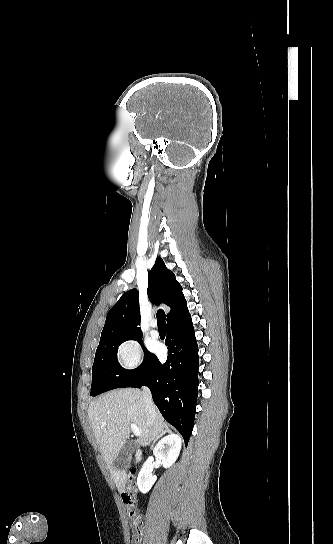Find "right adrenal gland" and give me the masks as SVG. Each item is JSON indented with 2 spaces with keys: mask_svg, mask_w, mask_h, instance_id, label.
<instances>
[{
  "mask_svg": "<svg viewBox=\"0 0 333 544\" xmlns=\"http://www.w3.org/2000/svg\"><path fill=\"white\" fill-rule=\"evenodd\" d=\"M168 431H169V429L166 427V428H165V432H168ZM161 436H162V435H161ZM158 438H159V437H158ZM158 438L153 442V445L156 443V441L158 440Z\"/></svg>",
  "mask_w": 333,
  "mask_h": 544,
  "instance_id": "obj_1",
  "label": "right adrenal gland"
}]
</instances>
